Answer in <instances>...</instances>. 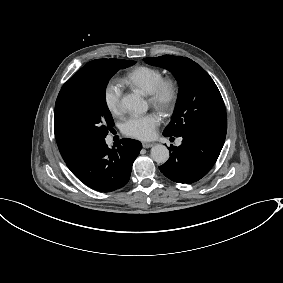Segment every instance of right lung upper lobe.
<instances>
[{"instance_id": "right-lung-upper-lobe-1", "label": "right lung upper lobe", "mask_w": 283, "mask_h": 283, "mask_svg": "<svg viewBox=\"0 0 283 283\" xmlns=\"http://www.w3.org/2000/svg\"><path fill=\"white\" fill-rule=\"evenodd\" d=\"M98 60H93L87 63L73 77H71L70 80L66 82L64 85L69 86V85H72L79 81L84 80L88 74V70L90 66L93 63L97 62ZM54 129H55V137H56V141L58 144V148L65 162H69L75 157H77L90 144V143H86V142L77 140L73 137L66 135L64 132L58 129L55 123H54Z\"/></svg>"}]
</instances>
